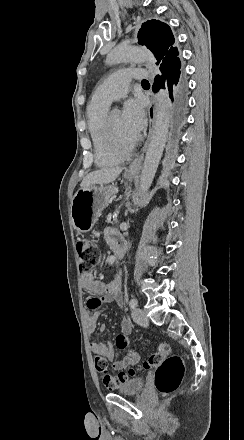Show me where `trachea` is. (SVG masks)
<instances>
[{
  "label": "trachea",
  "mask_w": 244,
  "mask_h": 440,
  "mask_svg": "<svg viewBox=\"0 0 244 440\" xmlns=\"http://www.w3.org/2000/svg\"><path fill=\"white\" fill-rule=\"evenodd\" d=\"M141 83H149L148 80H142Z\"/></svg>",
  "instance_id": "1"
}]
</instances>
